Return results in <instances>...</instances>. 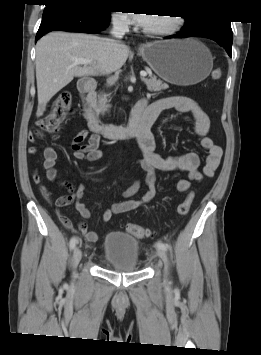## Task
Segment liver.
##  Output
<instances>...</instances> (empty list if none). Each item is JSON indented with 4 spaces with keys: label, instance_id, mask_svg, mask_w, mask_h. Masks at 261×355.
I'll list each match as a JSON object with an SVG mask.
<instances>
[{
    "label": "liver",
    "instance_id": "liver-1",
    "mask_svg": "<svg viewBox=\"0 0 261 355\" xmlns=\"http://www.w3.org/2000/svg\"><path fill=\"white\" fill-rule=\"evenodd\" d=\"M109 39L81 33L51 32L36 45L37 116H42L47 103L74 77L97 76L100 71L114 72L126 62L129 48L121 44L113 48ZM75 58L92 61L75 64Z\"/></svg>",
    "mask_w": 261,
    "mask_h": 355
}]
</instances>
